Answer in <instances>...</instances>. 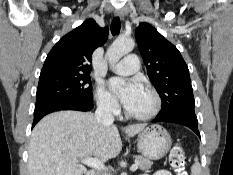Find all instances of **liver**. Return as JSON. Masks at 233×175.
Masks as SVG:
<instances>
[{"label": "liver", "instance_id": "obj_1", "mask_svg": "<svg viewBox=\"0 0 233 175\" xmlns=\"http://www.w3.org/2000/svg\"><path fill=\"white\" fill-rule=\"evenodd\" d=\"M135 124L125 128L134 136L145 128ZM122 141L114 125H103L90 113L59 111L45 116L34 127L28 166L30 175H83L87 169L78 159L93 156L101 162L115 158Z\"/></svg>", "mask_w": 233, "mask_h": 175}]
</instances>
